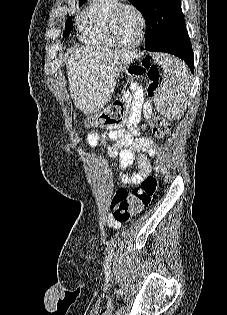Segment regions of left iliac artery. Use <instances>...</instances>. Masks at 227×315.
<instances>
[{
  "instance_id": "44dca946",
  "label": "left iliac artery",
  "mask_w": 227,
  "mask_h": 315,
  "mask_svg": "<svg viewBox=\"0 0 227 315\" xmlns=\"http://www.w3.org/2000/svg\"><path fill=\"white\" fill-rule=\"evenodd\" d=\"M113 255H114V248H111L109 250V254H108L106 262H105L106 275H110V273H111V265H112V261H113Z\"/></svg>"
}]
</instances>
